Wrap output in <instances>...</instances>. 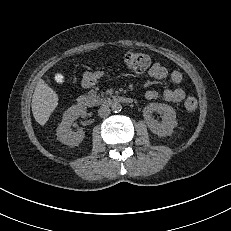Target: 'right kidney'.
<instances>
[{
  "label": "right kidney",
  "mask_w": 231,
  "mask_h": 231,
  "mask_svg": "<svg viewBox=\"0 0 231 231\" xmlns=\"http://www.w3.org/2000/svg\"><path fill=\"white\" fill-rule=\"evenodd\" d=\"M87 108L82 105H73L63 114V120L57 128V137L59 140L69 146L79 145L85 134L83 131L73 132L71 126L77 117H85Z\"/></svg>",
  "instance_id": "right-kidney-1"
}]
</instances>
